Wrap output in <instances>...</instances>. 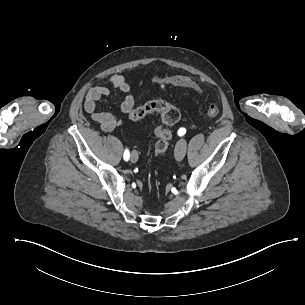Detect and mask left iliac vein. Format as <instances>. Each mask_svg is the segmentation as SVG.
<instances>
[{
    "mask_svg": "<svg viewBox=\"0 0 305 305\" xmlns=\"http://www.w3.org/2000/svg\"><path fill=\"white\" fill-rule=\"evenodd\" d=\"M187 149V142L185 139L181 138L177 141L175 146V157L178 161L183 160Z\"/></svg>",
    "mask_w": 305,
    "mask_h": 305,
    "instance_id": "obj_1",
    "label": "left iliac vein"
}]
</instances>
